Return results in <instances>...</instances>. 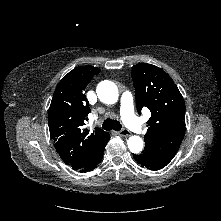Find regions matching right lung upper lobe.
Segmentation results:
<instances>
[{
	"label": "right lung upper lobe",
	"instance_id": "obj_1",
	"mask_svg": "<svg viewBox=\"0 0 221 221\" xmlns=\"http://www.w3.org/2000/svg\"><path fill=\"white\" fill-rule=\"evenodd\" d=\"M100 69L86 65L70 71L57 85L48 111L50 137L61 159L81 170L96 156L109 133L84 127L91 112L84 94L86 86Z\"/></svg>",
	"mask_w": 221,
	"mask_h": 221
}]
</instances>
